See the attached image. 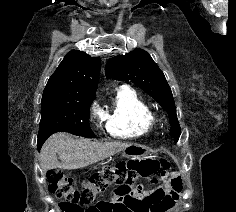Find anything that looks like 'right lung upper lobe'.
I'll list each match as a JSON object with an SVG mask.
<instances>
[{"mask_svg":"<svg viewBox=\"0 0 236 212\" xmlns=\"http://www.w3.org/2000/svg\"><path fill=\"white\" fill-rule=\"evenodd\" d=\"M101 62L83 51L68 52L49 78L42 100H77L94 98Z\"/></svg>","mask_w":236,"mask_h":212,"instance_id":"1","label":"right lung upper lobe"}]
</instances>
